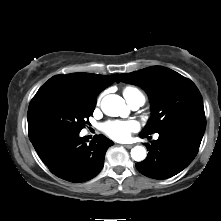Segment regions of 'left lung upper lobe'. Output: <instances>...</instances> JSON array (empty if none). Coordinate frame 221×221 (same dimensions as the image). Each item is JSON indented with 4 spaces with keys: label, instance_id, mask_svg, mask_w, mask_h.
<instances>
[{
    "label": "left lung upper lobe",
    "instance_id": "obj_1",
    "mask_svg": "<svg viewBox=\"0 0 221 221\" xmlns=\"http://www.w3.org/2000/svg\"><path fill=\"white\" fill-rule=\"evenodd\" d=\"M141 86L151 100L152 116L141 132L157 133L183 121H203L202 96L195 84L179 73L163 66H152L131 73H122L117 82Z\"/></svg>",
    "mask_w": 221,
    "mask_h": 221
}]
</instances>
